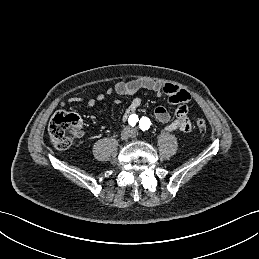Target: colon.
Segmentation results:
<instances>
[{
    "mask_svg": "<svg viewBox=\"0 0 259 259\" xmlns=\"http://www.w3.org/2000/svg\"><path fill=\"white\" fill-rule=\"evenodd\" d=\"M82 120L74 113L59 112L51 119L49 123V135L53 146L56 149H67L81 128ZM199 133L204 134L207 125L204 119H198L195 123Z\"/></svg>",
    "mask_w": 259,
    "mask_h": 259,
    "instance_id": "colon-1",
    "label": "colon"
}]
</instances>
